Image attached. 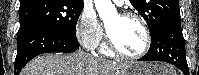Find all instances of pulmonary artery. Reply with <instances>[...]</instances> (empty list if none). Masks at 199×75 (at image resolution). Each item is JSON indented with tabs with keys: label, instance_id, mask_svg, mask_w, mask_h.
Listing matches in <instances>:
<instances>
[{
	"label": "pulmonary artery",
	"instance_id": "pulmonary-artery-1",
	"mask_svg": "<svg viewBox=\"0 0 199 75\" xmlns=\"http://www.w3.org/2000/svg\"><path fill=\"white\" fill-rule=\"evenodd\" d=\"M116 4H118V5H121L122 3H123V1H121V0H116V1H114Z\"/></svg>",
	"mask_w": 199,
	"mask_h": 75
}]
</instances>
